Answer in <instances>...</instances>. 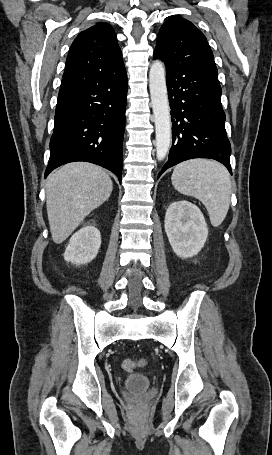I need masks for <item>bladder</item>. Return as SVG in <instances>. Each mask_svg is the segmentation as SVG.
<instances>
[{
    "instance_id": "obj_1",
    "label": "bladder",
    "mask_w": 272,
    "mask_h": 455,
    "mask_svg": "<svg viewBox=\"0 0 272 455\" xmlns=\"http://www.w3.org/2000/svg\"><path fill=\"white\" fill-rule=\"evenodd\" d=\"M125 387L131 391L140 392L150 386V380L143 374H130L124 383Z\"/></svg>"
}]
</instances>
